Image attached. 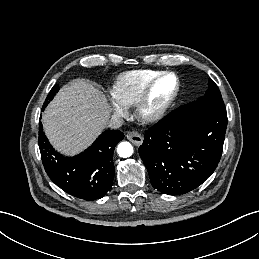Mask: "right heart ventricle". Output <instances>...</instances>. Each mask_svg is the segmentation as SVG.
<instances>
[{
	"mask_svg": "<svg viewBox=\"0 0 259 259\" xmlns=\"http://www.w3.org/2000/svg\"><path fill=\"white\" fill-rule=\"evenodd\" d=\"M159 73V71L148 69L124 72L117 77L112 94L123 106L131 107L135 104L146 84Z\"/></svg>",
	"mask_w": 259,
	"mask_h": 259,
	"instance_id": "obj_1",
	"label": "right heart ventricle"
}]
</instances>
